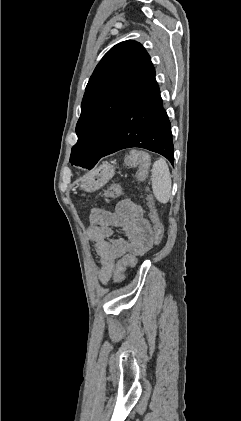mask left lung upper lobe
I'll return each mask as SVG.
<instances>
[{
  "mask_svg": "<svg viewBox=\"0 0 241 421\" xmlns=\"http://www.w3.org/2000/svg\"><path fill=\"white\" fill-rule=\"evenodd\" d=\"M150 56L132 40L112 47L96 66L86 86L77 122V143L70 162L82 166L99 160L139 83Z\"/></svg>",
  "mask_w": 241,
  "mask_h": 421,
  "instance_id": "left-lung-upper-lobe-1",
  "label": "left lung upper lobe"
}]
</instances>
